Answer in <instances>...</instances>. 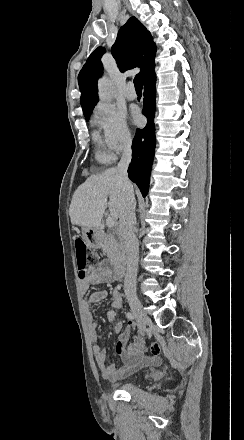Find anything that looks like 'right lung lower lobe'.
<instances>
[{
  "label": "right lung lower lobe",
  "instance_id": "98d812e1",
  "mask_svg": "<svg viewBox=\"0 0 244 440\" xmlns=\"http://www.w3.org/2000/svg\"><path fill=\"white\" fill-rule=\"evenodd\" d=\"M143 81L145 89L143 114L148 118V123L144 129H137L133 140V154L128 176L131 181L137 184L145 197L149 189L150 171L156 143L154 126L156 75L154 70L150 71Z\"/></svg>",
  "mask_w": 244,
  "mask_h": 440
}]
</instances>
